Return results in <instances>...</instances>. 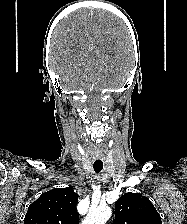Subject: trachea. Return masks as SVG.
Wrapping results in <instances>:
<instances>
[{
    "label": "trachea",
    "mask_w": 187,
    "mask_h": 224,
    "mask_svg": "<svg viewBox=\"0 0 187 224\" xmlns=\"http://www.w3.org/2000/svg\"><path fill=\"white\" fill-rule=\"evenodd\" d=\"M93 167H94V171L96 173H99L103 169V162H94Z\"/></svg>",
    "instance_id": "obj_1"
}]
</instances>
